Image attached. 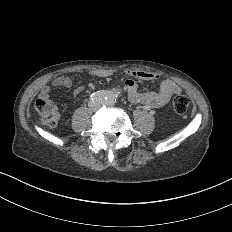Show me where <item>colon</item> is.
I'll return each instance as SVG.
<instances>
[{
    "label": "colon",
    "instance_id": "obj_1",
    "mask_svg": "<svg viewBox=\"0 0 232 232\" xmlns=\"http://www.w3.org/2000/svg\"><path fill=\"white\" fill-rule=\"evenodd\" d=\"M53 100V96H37V113H47L43 121L44 129H56L58 125L56 117H61V112H57L56 108H50V101ZM173 107L174 114H188L193 109V104L189 100L188 94H175Z\"/></svg>",
    "mask_w": 232,
    "mask_h": 232
}]
</instances>
